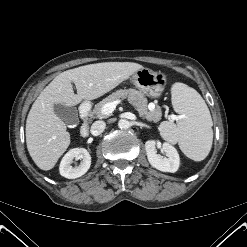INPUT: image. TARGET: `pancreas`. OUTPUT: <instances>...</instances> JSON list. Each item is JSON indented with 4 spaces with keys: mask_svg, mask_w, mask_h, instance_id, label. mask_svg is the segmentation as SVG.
I'll list each match as a JSON object with an SVG mask.
<instances>
[{
    "mask_svg": "<svg viewBox=\"0 0 247 247\" xmlns=\"http://www.w3.org/2000/svg\"><path fill=\"white\" fill-rule=\"evenodd\" d=\"M125 99L128 98L130 104H132L135 109L138 111L141 117H150L151 119H157L160 109L156 108L153 111H148V101L147 98L141 91H137L135 89H120L116 92H113L111 95L100 101L95 108L91 112V116L96 118H104L106 115L102 114V107L110 102H113L117 99Z\"/></svg>",
    "mask_w": 247,
    "mask_h": 247,
    "instance_id": "pancreas-1",
    "label": "pancreas"
}]
</instances>
